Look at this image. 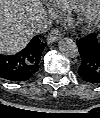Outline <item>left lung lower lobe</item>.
I'll return each instance as SVG.
<instances>
[{"mask_svg":"<svg viewBox=\"0 0 100 118\" xmlns=\"http://www.w3.org/2000/svg\"><path fill=\"white\" fill-rule=\"evenodd\" d=\"M81 65L78 74L90 84H100V38L95 34L77 40Z\"/></svg>","mask_w":100,"mask_h":118,"instance_id":"obj_1","label":"left lung lower lobe"}]
</instances>
